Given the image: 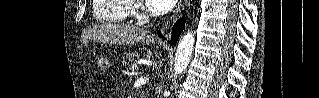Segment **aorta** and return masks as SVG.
Here are the masks:
<instances>
[{"label": "aorta", "instance_id": "762f6f07", "mask_svg": "<svg viewBox=\"0 0 319 98\" xmlns=\"http://www.w3.org/2000/svg\"><path fill=\"white\" fill-rule=\"evenodd\" d=\"M194 35L191 32L186 33L180 40L175 54L174 76L182 74L187 68L194 47ZM169 94V93H168Z\"/></svg>", "mask_w": 319, "mask_h": 98}]
</instances>
